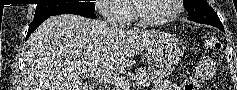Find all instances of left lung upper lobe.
Here are the masks:
<instances>
[{
  "instance_id": "obj_1",
  "label": "left lung upper lobe",
  "mask_w": 237,
  "mask_h": 90,
  "mask_svg": "<svg viewBox=\"0 0 237 90\" xmlns=\"http://www.w3.org/2000/svg\"><path fill=\"white\" fill-rule=\"evenodd\" d=\"M189 14L188 20L208 24L217 28H223L222 23L215 11L208 5L206 0H183Z\"/></svg>"
}]
</instances>
